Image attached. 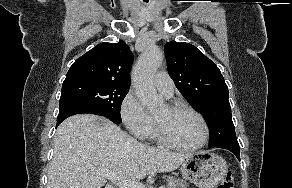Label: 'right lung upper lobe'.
<instances>
[{"label": "right lung upper lobe", "mask_w": 292, "mask_h": 188, "mask_svg": "<svg viewBox=\"0 0 292 188\" xmlns=\"http://www.w3.org/2000/svg\"><path fill=\"white\" fill-rule=\"evenodd\" d=\"M132 60V52L124 41L100 43L72 64L65 80L93 79L130 87Z\"/></svg>", "instance_id": "cb5924a9"}]
</instances>
